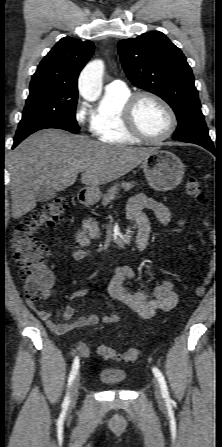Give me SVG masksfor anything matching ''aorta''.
Wrapping results in <instances>:
<instances>
[{
    "mask_svg": "<svg viewBox=\"0 0 222 447\" xmlns=\"http://www.w3.org/2000/svg\"><path fill=\"white\" fill-rule=\"evenodd\" d=\"M104 63L101 60L89 62L79 78V91L87 101H96L101 93Z\"/></svg>",
    "mask_w": 222,
    "mask_h": 447,
    "instance_id": "762f6f07",
    "label": "aorta"
}]
</instances>
